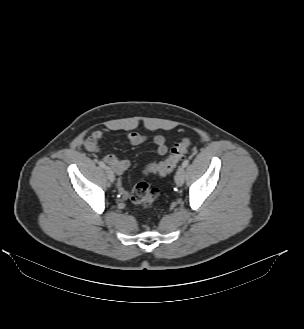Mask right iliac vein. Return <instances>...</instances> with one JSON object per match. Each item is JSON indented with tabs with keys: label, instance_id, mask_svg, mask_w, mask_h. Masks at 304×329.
Here are the masks:
<instances>
[{
	"label": "right iliac vein",
	"instance_id": "1",
	"mask_svg": "<svg viewBox=\"0 0 304 329\" xmlns=\"http://www.w3.org/2000/svg\"><path fill=\"white\" fill-rule=\"evenodd\" d=\"M105 171H106V175H107V178L110 182H114L115 180V175H114V172L113 170L110 168V167H106L105 168Z\"/></svg>",
	"mask_w": 304,
	"mask_h": 329
}]
</instances>
